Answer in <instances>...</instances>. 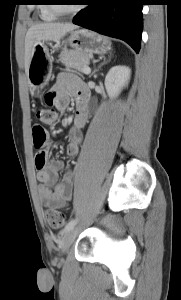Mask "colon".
<instances>
[{
  "label": "colon",
  "instance_id": "1",
  "mask_svg": "<svg viewBox=\"0 0 181 300\" xmlns=\"http://www.w3.org/2000/svg\"><path fill=\"white\" fill-rule=\"evenodd\" d=\"M54 100V96L48 93L45 97L48 107L38 108L34 112L35 118L43 124H52L58 118V112L51 107ZM48 140V134L46 129L36 124L33 127V147L37 151L35 155L36 167H42L45 164V157L41 154L46 142ZM45 220L47 224L54 229L60 228L65 223V216L62 212L55 208H48L45 211Z\"/></svg>",
  "mask_w": 181,
  "mask_h": 300
}]
</instances>
